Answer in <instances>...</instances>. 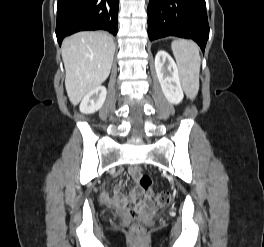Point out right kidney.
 Wrapping results in <instances>:
<instances>
[{
  "instance_id": "1",
  "label": "right kidney",
  "mask_w": 264,
  "mask_h": 247,
  "mask_svg": "<svg viewBox=\"0 0 264 247\" xmlns=\"http://www.w3.org/2000/svg\"><path fill=\"white\" fill-rule=\"evenodd\" d=\"M107 90L104 86L96 87L85 95L80 103V111L84 114H92L103 106Z\"/></svg>"
}]
</instances>
